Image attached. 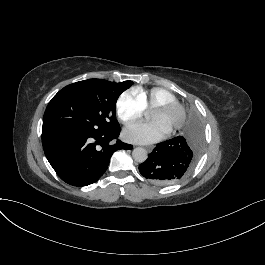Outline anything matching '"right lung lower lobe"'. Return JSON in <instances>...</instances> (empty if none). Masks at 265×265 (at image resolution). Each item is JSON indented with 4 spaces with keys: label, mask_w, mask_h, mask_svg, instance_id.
Returning <instances> with one entry per match:
<instances>
[{
    "label": "right lung lower lobe",
    "mask_w": 265,
    "mask_h": 265,
    "mask_svg": "<svg viewBox=\"0 0 265 265\" xmlns=\"http://www.w3.org/2000/svg\"><path fill=\"white\" fill-rule=\"evenodd\" d=\"M120 128L98 135L62 134L42 140L49 163L57 175L73 186H87L98 180L107 170L112 154L133 146L117 140ZM97 145L102 150L96 149Z\"/></svg>",
    "instance_id": "right-lung-lower-lobe-1"
}]
</instances>
